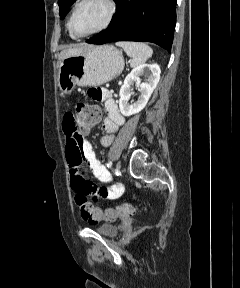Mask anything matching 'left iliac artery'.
Listing matches in <instances>:
<instances>
[{
	"mask_svg": "<svg viewBox=\"0 0 240 288\" xmlns=\"http://www.w3.org/2000/svg\"><path fill=\"white\" fill-rule=\"evenodd\" d=\"M112 166V161H109L108 163H107V167H111Z\"/></svg>",
	"mask_w": 240,
	"mask_h": 288,
	"instance_id": "44dca946",
	"label": "left iliac artery"
}]
</instances>
